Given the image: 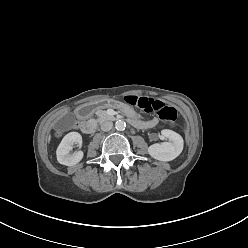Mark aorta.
<instances>
[{
    "label": "aorta",
    "instance_id": "1",
    "mask_svg": "<svg viewBox=\"0 0 248 248\" xmlns=\"http://www.w3.org/2000/svg\"><path fill=\"white\" fill-rule=\"evenodd\" d=\"M115 128H116L118 131H123V130H125V128H126V123H125L123 120H118V121H116V123H115Z\"/></svg>",
    "mask_w": 248,
    "mask_h": 248
}]
</instances>
